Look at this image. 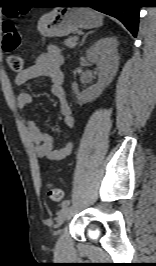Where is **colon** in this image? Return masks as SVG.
I'll use <instances>...</instances> for the list:
<instances>
[{
    "mask_svg": "<svg viewBox=\"0 0 156 266\" xmlns=\"http://www.w3.org/2000/svg\"><path fill=\"white\" fill-rule=\"evenodd\" d=\"M21 14H24L21 12ZM21 44V34L17 27L11 23L6 22L4 24V39L3 48L6 51H14ZM7 63L9 68L13 72L20 73L25 66L24 58L16 53H10L7 57ZM48 196L55 202H59L63 198V193L60 189L56 188L52 183L47 184Z\"/></svg>",
    "mask_w": 156,
    "mask_h": 266,
    "instance_id": "5ec220e1",
    "label": "colon"
}]
</instances>
